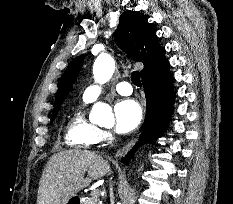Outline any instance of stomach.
Instances as JSON below:
<instances>
[{"mask_svg": "<svg viewBox=\"0 0 233 204\" xmlns=\"http://www.w3.org/2000/svg\"><path fill=\"white\" fill-rule=\"evenodd\" d=\"M68 203H69V200H68V202L66 204H68ZM80 204H82V202H80Z\"/></svg>", "mask_w": 233, "mask_h": 204, "instance_id": "stomach-1", "label": "stomach"}]
</instances>
